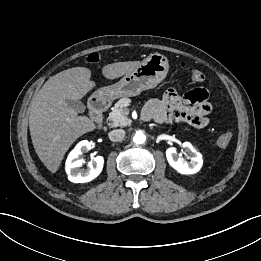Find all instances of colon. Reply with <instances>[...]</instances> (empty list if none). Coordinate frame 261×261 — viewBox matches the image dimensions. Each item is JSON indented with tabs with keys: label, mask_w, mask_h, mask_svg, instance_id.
<instances>
[{
	"label": "colon",
	"mask_w": 261,
	"mask_h": 261,
	"mask_svg": "<svg viewBox=\"0 0 261 261\" xmlns=\"http://www.w3.org/2000/svg\"><path fill=\"white\" fill-rule=\"evenodd\" d=\"M86 60L89 63H97L100 60V55L98 53H91L87 56ZM182 68L187 73L191 81L199 83L205 80V75L201 70L188 66L185 63L182 64ZM231 139L232 133L230 131L224 132L217 137L215 145L220 149H224L229 145Z\"/></svg>",
	"instance_id": "obj_1"
}]
</instances>
